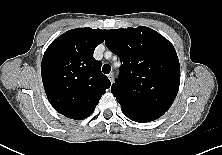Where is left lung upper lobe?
I'll use <instances>...</instances> for the list:
<instances>
[{
    "instance_id": "5c2ea615",
    "label": "left lung upper lobe",
    "mask_w": 222,
    "mask_h": 155,
    "mask_svg": "<svg viewBox=\"0 0 222 155\" xmlns=\"http://www.w3.org/2000/svg\"><path fill=\"white\" fill-rule=\"evenodd\" d=\"M104 32L107 48L122 63L111 92L123 113L161 117L179 90L180 65L173 45L145 26Z\"/></svg>"
}]
</instances>
